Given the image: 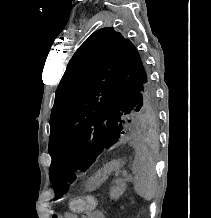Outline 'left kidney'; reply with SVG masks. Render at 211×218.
<instances>
[{"label": "left kidney", "instance_id": "5707ae66", "mask_svg": "<svg viewBox=\"0 0 211 218\" xmlns=\"http://www.w3.org/2000/svg\"><path fill=\"white\" fill-rule=\"evenodd\" d=\"M118 212H127V207H118Z\"/></svg>", "mask_w": 211, "mask_h": 218}]
</instances>
